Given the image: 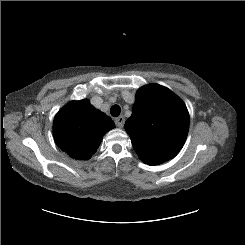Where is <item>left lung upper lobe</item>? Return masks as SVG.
<instances>
[{
	"instance_id": "obj_1",
	"label": "left lung upper lobe",
	"mask_w": 245,
	"mask_h": 245,
	"mask_svg": "<svg viewBox=\"0 0 245 245\" xmlns=\"http://www.w3.org/2000/svg\"><path fill=\"white\" fill-rule=\"evenodd\" d=\"M125 130L140 160L158 165L174 158L184 145L189 113L184 102L168 88L143 86L136 93Z\"/></svg>"
}]
</instances>
